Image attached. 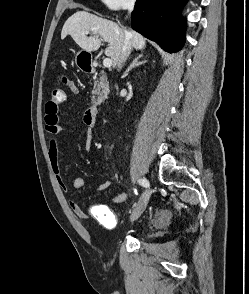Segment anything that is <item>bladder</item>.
<instances>
[{"label": "bladder", "mask_w": 249, "mask_h": 294, "mask_svg": "<svg viewBox=\"0 0 249 294\" xmlns=\"http://www.w3.org/2000/svg\"><path fill=\"white\" fill-rule=\"evenodd\" d=\"M170 221V213L164 212L158 219V222L167 223Z\"/></svg>", "instance_id": "bladder-1"}]
</instances>
